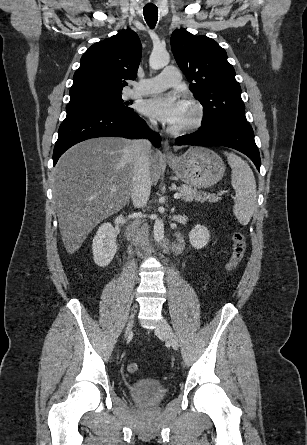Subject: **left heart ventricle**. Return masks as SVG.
I'll return each mask as SVG.
<instances>
[{"instance_id": "obj_1", "label": "left heart ventricle", "mask_w": 307, "mask_h": 445, "mask_svg": "<svg viewBox=\"0 0 307 445\" xmlns=\"http://www.w3.org/2000/svg\"><path fill=\"white\" fill-rule=\"evenodd\" d=\"M192 116H193L192 110L189 106H187L184 116L178 122L173 124V126H180V125L186 123L187 121H189L192 118Z\"/></svg>"}]
</instances>
